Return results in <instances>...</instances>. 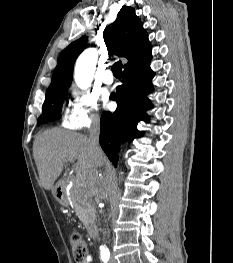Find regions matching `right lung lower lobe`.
Instances as JSON below:
<instances>
[{
	"label": "right lung lower lobe",
	"instance_id": "98d812e1",
	"mask_svg": "<svg viewBox=\"0 0 233 263\" xmlns=\"http://www.w3.org/2000/svg\"><path fill=\"white\" fill-rule=\"evenodd\" d=\"M150 60L124 69L123 84L117 87V94L111 96L117 101V109L114 113L103 112L101 116L100 145L115 166L120 143L140 137L142 132L136 125L148 119L144 110H148L151 103L146 95L152 91L151 80L155 74Z\"/></svg>",
	"mask_w": 233,
	"mask_h": 263
}]
</instances>
